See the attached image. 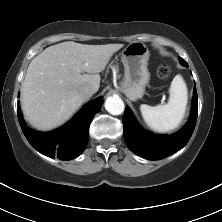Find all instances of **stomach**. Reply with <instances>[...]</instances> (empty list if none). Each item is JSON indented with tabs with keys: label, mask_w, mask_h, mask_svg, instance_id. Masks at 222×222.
Wrapping results in <instances>:
<instances>
[{
	"label": "stomach",
	"mask_w": 222,
	"mask_h": 222,
	"mask_svg": "<svg viewBox=\"0 0 222 222\" xmlns=\"http://www.w3.org/2000/svg\"><path fill=\"white\" fill-rule=\"evenodd\" d=\"M149 49L142 42L130 43L121 54L124 78L120 82L121 91L131 100L141 98L150 80L148 71Z\"/></svg>",
	"instance_id": "stomach-1"
}]
</instances>
